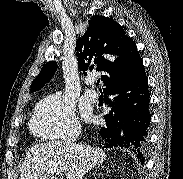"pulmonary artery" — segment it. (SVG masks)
<instances>
[{
  "label": "pulmonary artery",
  "mask_w": 183,
  "mask_h": 179,
  "mask_svg": "<svg viewBox=\"0 0 183 179\" xmlns=\"http://www.w3.org/2000/svg\"><path fill=\"white\" fill-rule=\"evenodd\" d=\"M87 83L89 85L93 84L92 80H88ZM85 97L91 101V102H97L98 101V93L93 89H87L84 93Z\"/></svg>",
  "instance_id": "obj_1"
}]
</instances>
